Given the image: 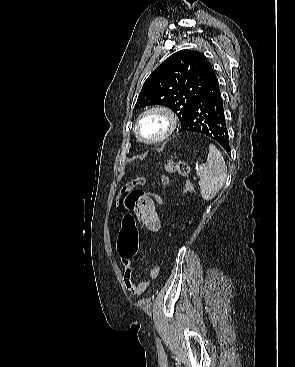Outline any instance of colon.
Listing matches in <instances>:
<instances>
[{"label": "colon", "mask_w": 295, "mask_h": 367, "mask_svg": "<svg viewBox=\"0 0 295 367\" xmlns=\"http://www.w3.org/2000/svg\"><path fill=\"white\" fill-rule=\"evenodd\" d=\"M165 171L167 174L177 173L185 178L190 175V167L184 161H168L165 165ZM147 179L145 177H137L134 180L126 183L120 190L119 199L121 200L124 207L128 210L133 209L136 200L139 196H152L155 201V205H164L165 196L158 195L153 189H140L145 185ZM168 182V176L162 175L159 180V185H165ZM194 191L193 184L187 180L184 184V194H191ZM119 242L121 250L124 254H131L135 252L137 248V230L135 226L134 218L131 214H126L122 221V230L119 236Z\"/></svg>", "instance_id": "obj_1"}]
</instances>
